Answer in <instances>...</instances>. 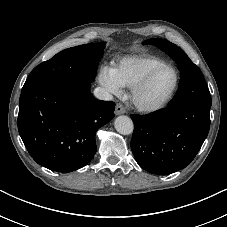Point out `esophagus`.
Listing matches in <instances>:
<instances>
[{"label": "esophagus", "mask_w": 227, "mask_h": 227, "mask_svg": "<svg viewBox=\"0 0 227 227\" xmlns=\"http://www.w3.org/2000/svg\"><path fill=\"white\" fill-rule=\"evenodd\" d=\"M124 113H126L124 106L122 104L118 103L115 107V114L121 115V114H124Z\"/></svg>", "instance_id": "esophagus-1"}]
</instances>
